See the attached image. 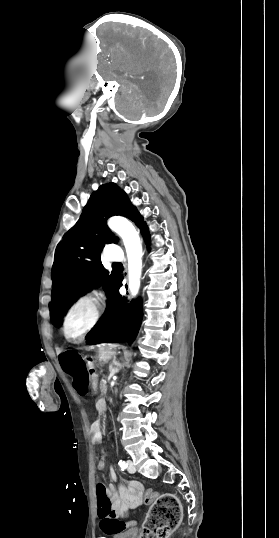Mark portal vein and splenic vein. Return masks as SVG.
I'll list each match as a JSON object with an SVG mask.
<instances>
[{"label":"portal vein and splenic vein","instance_id":"portal-vein-and-splenic-vein-1","mask_svg":"<svg viewBox=\"0 0 279 538\" xmlns=\"http://www.w3.org/2000/svg\"><path fill=\"white\" fill-rule=\"evenodd\" d=\"M104 383H108V380H104Z\"/></svg>","mask_w":279,"mask_h":538}]
</instances>
